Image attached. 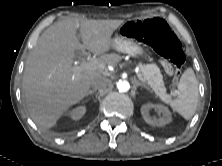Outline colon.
<instances>
[{
	"mask_svg": "<svg viewBox=\"0 0 222 166\" xmlns=\"http://www.w3.org/2000/svg\"><path fill=\"white\" fill-rule=\"evenodd\" d=\"M120 32L125 37L150 45L163 56L166 73L169 76H179L186 58L179 39L165 20L152 17L131 21Z\"/></svg>",
	"mask_w": 222,
	"mask_h": 166,
	"instance_id": "obj_1",
	"label": "colon"
}]
</instances>
